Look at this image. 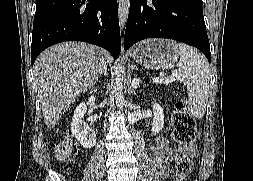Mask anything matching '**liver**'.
<instances>
[{
  "label": "liver",
  "mask_w": 253,
  "mask_h": 181,
  "mask_svg": "<svg viewBox=\"0 0 253 181\" xmlns=\"http://www.w3.org/2000/svg\"><path fill=\"white\" fill-rule=\"evenodd\" d=\"M106 56L98 46L73 41L51 46L38 56L33 67L34 86L48 128L98 81Z\"/></svg>",
  "instance_id": "obj_1"
}]
</instances>
